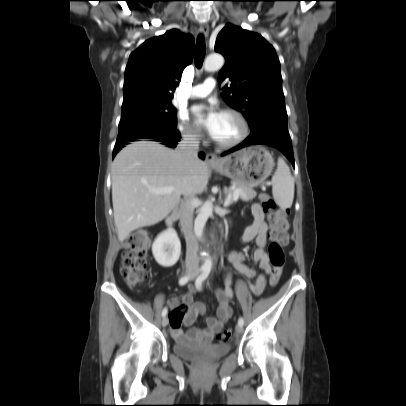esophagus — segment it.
I'll list each match as a JSON object with an SVG mask.
<instances>
[{"instance_id": "1", "label": "esophagus", "mask_w": 406, "mask_h": 406, "mask_svg": "<svg viewBox=\"0 0 406 406\" xmlns=\"http://www.w3.org/2000/svg\"><path fill=\"white\" fill-rule=\"evenodd\" d=\"M200 31L205 36V38L209 35V26L206 23L200 24ZM206 161L208 164H217L220 162L219 158L214 153H209L206 157Z\"/></svg>"}]
</instances>
